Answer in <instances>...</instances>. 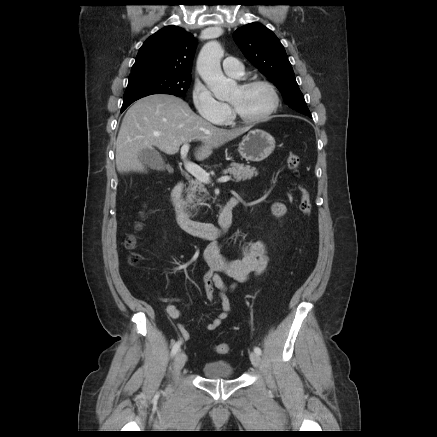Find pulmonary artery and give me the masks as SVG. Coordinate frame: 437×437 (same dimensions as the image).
Listing matches in <instances>:
<instances>
[{
  "instance_id": "pulmonary-artery-1",
  "label": "pulmonary artery",
  "mask_w": 437,
  "mask_h": 437,
  "mask_svg": "<svg viewBox=\"0 0 437 437\" xmlns=\"http://www.w3.org/2000/svg\"><path fill=\"white\" fill-rule=\"evenodd\" d=\"M223 71L231 77H241L244 73L243 66L240 61L234 57H227L222 63Z\"/></svg>"
}]
</instances>
